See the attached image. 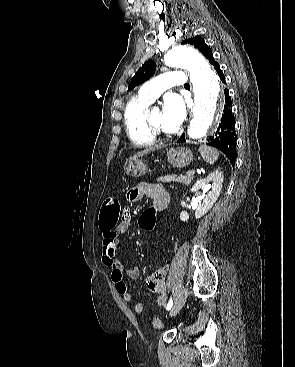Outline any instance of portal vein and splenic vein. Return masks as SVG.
<instances>
[{
	"label": "portal vein and splenic vein",
	"instance_id": "obj_1",
	"mask_svg": "<svg viewBox=\"0 0 295 367\" xmlns=\"http://www.w3.org/2000/svg\"><path fill=\"white\" fill-rule=\"evenodd\" d=\"M195 174V171L194 170H189L187 172V175H190V176H193Z\"/></svg>",
	"mask_w": 295,
	"mask_h": 367
}]
</instances>
